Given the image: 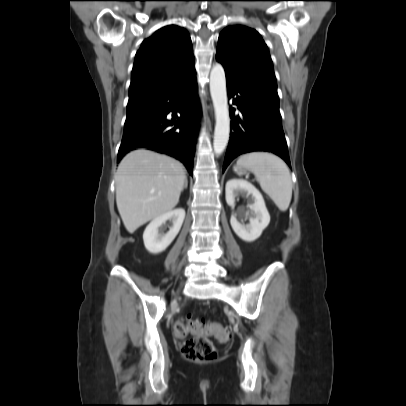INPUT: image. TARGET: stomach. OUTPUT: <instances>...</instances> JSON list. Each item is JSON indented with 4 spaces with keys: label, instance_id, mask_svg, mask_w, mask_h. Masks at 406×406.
I'll list each match as a JSON object with an SVG mask.
<instances>
[{
    "label": "stomach",
    "instance_id": "obj_1",
    "mask_svg": "<svg viewBox=\"0 0 406 406\" xmlns=\"http://www.w3.org/2000/svg\"><path fill=\"white\" fill-rule=\"evenodd\" d=\"M233 170H234V172L237 173L238 175H243V174H245V173L247 172L248 168H246V167L243 166V165L236 164V165L233 167Z\"/></svg>",
    "mask_w": 406,
    "mask_h": 406
}]
</instances>
